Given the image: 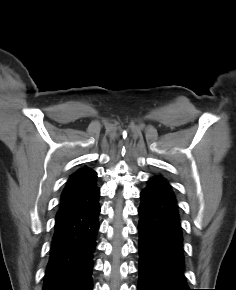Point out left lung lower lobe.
I'll return each instance as SVG.
<instances>
[{
  "label": "left lung lower lobe",
  "mask_w": 236,
  "mask_h": 290,
  "mask_svg": "<svg viewBox=\"0 0 236 290\" xmlns=\"http://www.w3.org/2000/svg\"><path fill=\"white\" fill-rule=\"evenodd\" d=\"M140 196L138 290H190L184 276L178 206L170 185L155 176Z\"/></svg>",
  "instance_id": "0a47b994"
}]
</instances>
